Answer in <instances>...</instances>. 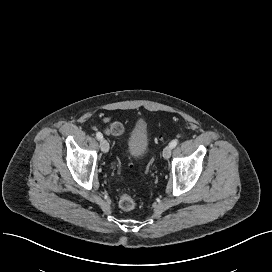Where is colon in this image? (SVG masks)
Listing matches in <instances>:
<instances>
[{"mask_svg":"<svg viewBox=\"0 0 272 272\" xmlns=\"http://www.w3.org/2000/svg\"><path fill=\"white\" fill-rule=\"evenodd\" d=\"M120 131H121V126L117 122H113L109 124L108 127L106 128L107 133L116 134V133H119ZM118 205H119V208L123 211H132L136 209L138 203H137V200L133 196L129 194H124L119 198Z\"/></svg>","mask_w":272,"mask_h":272,"instance_id":"1","label":"colon"}]
</instances>
